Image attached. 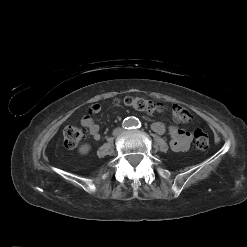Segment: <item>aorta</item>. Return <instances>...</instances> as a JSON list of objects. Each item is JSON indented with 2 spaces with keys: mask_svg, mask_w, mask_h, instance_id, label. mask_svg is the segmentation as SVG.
<instances>
[{
  "mask_svg": "<svg viewBox=\"0 0 247 247\" xmlns=\"http://www.w3.org/2000/svg\"><path fill=\"white\" fill-rule=\"evenodd\" d=\"M127 124L129 125V126H133V125H135L136 124V121L134 120V119H128L127 121Z\"/></svg>",
  "mask_w": 247,
  "mask_h": 247,
  "instance_id": "762f6f07",
  "label": "aorta"
}]
</instances>
